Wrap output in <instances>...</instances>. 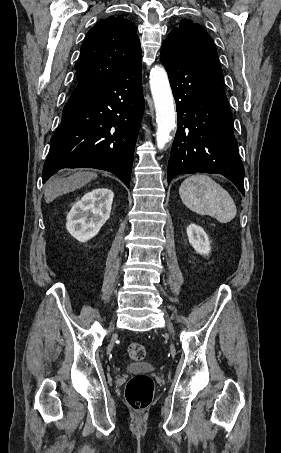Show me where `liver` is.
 <instances>
[{"mask_svg":"<svg viewBox=\"0 0 281 453\" xmlns=\"http://www.w3.org/2000/svg\"><path fill=\"white\" fill-rule=\"evenodd\" d=\"M97 172H89V170H83V172H74L66 178H50L48 180L44 196L46 202H52L54 198L60 196V194H66V192H73L76 188H82L85 184H88L90 180L96 178Z\"/></svg>","mask_w":281,"mask_h":453,"instance_id":"1","label":"liver"}]
</instances>
